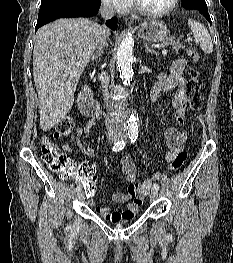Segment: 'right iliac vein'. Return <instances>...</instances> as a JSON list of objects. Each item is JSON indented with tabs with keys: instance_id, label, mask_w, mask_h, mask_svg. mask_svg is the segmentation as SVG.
Wrapping results in <instances>:
<instances>
[{
	"instance_id": "right-iliac-vein-1",
	"label": "right iliac vein",
	"mask_w": 233,
	"mask_h": 263,
	"mask_svg": "<svg viewBox=\"0 0 233 263\" xmlns=\"http://www.w3.org/2000/svg\"><path fill=\"white\" fill-rule=\"evenodd\" d=\"M109 139L111 141H117L119 138H118L117 135L111 134L109 136ZM77 196H78V199L82 200L84 198V192L83 191H79Z\"/></svg>"
}]
</instances>
